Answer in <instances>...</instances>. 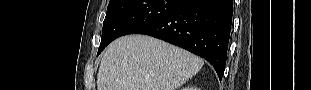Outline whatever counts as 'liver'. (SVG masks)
I'll return each mask as SVG.
<instances>
[{
    "label": "liver",
    "instance_id": "6515ba94",
    "mask_svg": "<svg viewBox=\"0 0 311 90\" xmlns=\"http://www.w3.org/2000/svg\"><path fill=\"white\" fill-rule=\"evenodd\" d=\"M203 65L198 56L162 40L124 36L104 53L97 90H176Z\"/></svg>",
    "mask_w": 311,
    "mask_h": 90
}]
</instances>
